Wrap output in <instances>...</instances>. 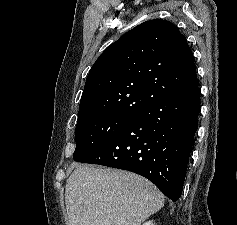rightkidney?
Masks as SVG:
<instances>
[{
	"instance_id": "ca27d5eb",
	"label": "right kidney",
	"mask_w": 237,
	"mask_h": 225,
	"mask_svg": "<svg viewBox=\"0 0 237 225\" xmlns=\"http://www.w3.org/2000/svg\"><path fill=\"white\" fill-rule=\"evenodd\" d=\"M143 225H155V223H153L152 221H147V222L143 223Z\"/></svg>"
}]
</instances>
